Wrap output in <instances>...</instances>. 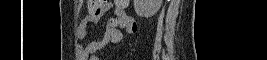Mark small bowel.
Listing matches in <instances>:
<instances>
[{"mask_svg": "<svg viewBox=\"0 0 267 60\" xmlns=\"http://www.w3.org/2000/svg\"><path fill=\"white\" fill-rule=\"evenodd\" d=\"M126 5L127 4L119 6L116 2H106L101 13L98 15L88 14L82 19L78 29V36L81 39H84L88 34V28L90 25L98 22L105 12L111 9L114 10V16L108 18L102 37L91 41L83 48L84 56L88 57L95 55L99 50L110 43H119L123 38V31L126 34H132L135 31L132 27L133 24H135L134 19L126 14ZM118 22H125L127 25L125 27H118L116 25ZM119 28H122L123 31Z\"/></svg>", "mask_w": 267, "mask_h": 60, "instance_id": "c3829d8e", "label": "small bowel"}]
</instances>
